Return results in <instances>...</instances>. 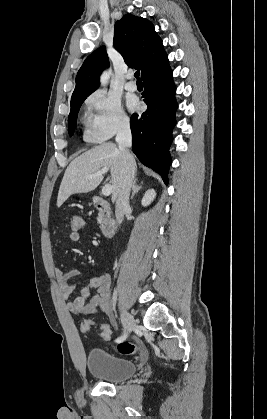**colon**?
<instances>
[{"instance_id":"colon-1","label":"colon","mask_w":267,"mask_h":419,"mask_svg":"<svg viewBox=\"0 0 267 419\" xmlns=\"http://www.w3.org/2000/svg\"><path fill=\"white\" fill-rule=\"evenodd\" d=\"M84 219L81 216H74L70 221V229L71 232L79 233L80 229L84 225ZM94 325L93 321L87 319L82 321L81 323V331L82 332H88L91 327ZM99 330L101 333V336L104 340L108 341L111 338V329L106 324H101L99 326ZM140 345L134 342H122L119 343L117 346V351L121 355H132L135 354L137 351H139Z\"/></svg>"}]
</instances>
